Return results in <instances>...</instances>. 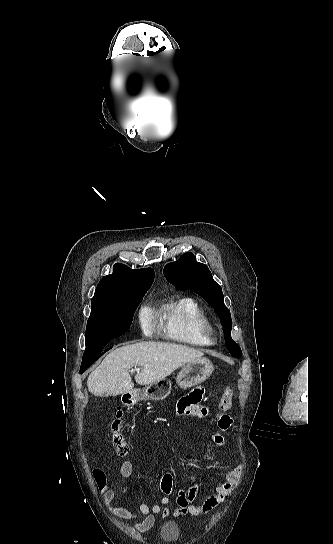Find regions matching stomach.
<instances>
[{"instance_id":"stomach-1","label":"stomach","mask_w":333,"mask_h":544,"mask_svg":"<svg viewBox=\"0 0 333 544\" xmlns=\"http://www.w3.org/2000/svg\"><path fill=\"white\" fill-rule=\"evenodd\" d=\"M213 364L206 358H200L185 364L179 374L176 382L181 388H190L204 382L213 372ZM172 390L170 380L163 378L151 384L146 385L143 389H134L128 393L130 398L129 403L136 404L146 400H163L169 396Z\"/></svg>"}]
</instances>
